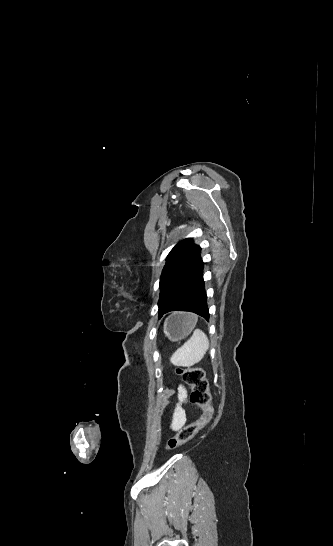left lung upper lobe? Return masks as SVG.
Masks as SVG:
<instances>
[{
  "instance_id": "5c2ea615",
  "label": "left lung upper lobe",
  "mask_w": 333,
  "mask_h": 546,
  "mask_svg": "<svg viewBox=\"0 0 333 546\" xmlns=\"http://www.w3.org/2000/svg\"><path fill=\"white\" fill-rule=\"evenodd\" d=\"M201 252V248L193 243L191 238L179 242L169 253L160 277L159 313L165 301L167 290L177 275Z\"/></svg>"
}]
</instances>
